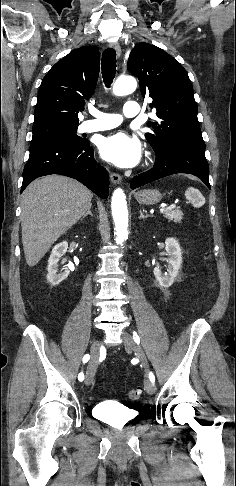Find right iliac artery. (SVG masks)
I'll list each match as a JSON object with an SVG mask.
<instances>
[{
    "label": "right iliac artery",
    "mask_w": 236,
    "mask_h": 486,
    "mask_svg": "<svg viewBox=\"0 0 236 486\" xmlns=\"http://www.w3.org/2000/svg\"><path fill=\"white\" fill-rule=\"evenodd\" d=\"M89 359H90L89 354L84 355V357H83V363L88 362V360H89ZM78 380H79V381H83V380H84V374H83L82 372H81V373H79V375H78Z\"/></svg>",
    "instance_id": "82829eb1"
}]
</instances>
